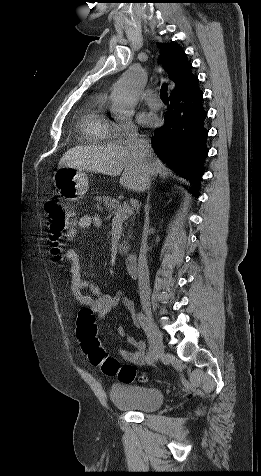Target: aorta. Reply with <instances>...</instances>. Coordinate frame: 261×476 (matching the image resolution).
Returning a JSON list of instances; mask_svg holds the SVG:
<instances>
[{"instance_id":"1","label":"aorta","mask_w":261,"mask_h":476,"mask_svg":"<svg viewBox=\"0 0 261 476\" xmlns=\"http://www.w3.org/2000/svg\"><path fill=\"white\" fill-rule=\"evenodd\" d=\"M141 86L139 71H129L115 84L112 93V110L119 118L134 112Z\"/></svg>"}]
</instances>
